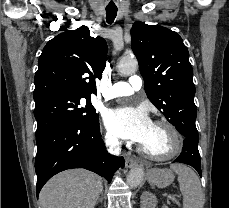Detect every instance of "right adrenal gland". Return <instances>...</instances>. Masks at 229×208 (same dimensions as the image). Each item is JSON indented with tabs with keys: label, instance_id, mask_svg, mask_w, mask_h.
I'll return each instance as SVG.
<instances>
[{
	"label": "right adrenal gland",
	"instance_id": "obj_1",
	"mask_svg": "<svg viewBox=\"0 0 229 208\" xmlns=\"http://www.w3.org/2000/svg\"><path fill=\"white\" fill-rule=\"evenodd\" d=\"M102 200H103V192H102V194H101L100 198H98V200H97L96 204H98V202H102Z\"/></svg>",
	"mask_w": 229,
	"mask_h": 208
}]
</instances>
